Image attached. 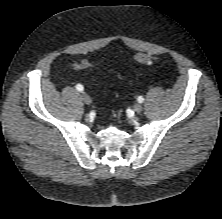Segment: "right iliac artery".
Instances as JSON below:
<instances>
[{
  "mask_svg": "<svg viewBox=\"0 0 222 219\" xmlns=\"http://www.w3.org/2000/svg\"><path fill=\"white\" fill-rule=\"evenodd\" d=\"M76 89L79 91V92H82L84 90V87L81 85V84H77L76 85Z\"/></svg>",
  "mask_w": 222,
  "mask_h": 219,
  "instance_id": "1",
  "label": "right iliac artery"
}]
</instances>
